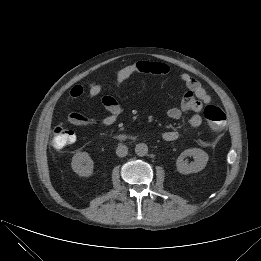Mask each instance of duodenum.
<instances>
[{
	"instance_id": "1",
	"label": "duodenum",
	"mask_w": 261,
	"mask_h": 261,
	"mask_svg": "<svg viewBox=\"0 0 261 261\" xmlns=\"http://www.w3.org/2000/svg\"><path fill=\"white\" fill-rule=\"evenodd\" d=\"M116 138L121 140V141H128V140H131L132 137L129 136V135H126V134H122V133H118L116 134Z\"/></svg>"
}]
</instances>
